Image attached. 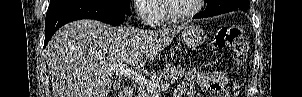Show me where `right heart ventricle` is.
<instances>
[{
  "label": "right heart ventricle",
  "mask_w": 302,
  "mask_h": 97,
  "mask_svg": "<svg viewBox=\"0 0 302 97\" xmlns=\"http://www.w3.org/2000/svg\"><path fill=\"white\" fill-rule=\"evenodd\" d=\"M161 21H165V16H164V13L162 12V10H161Z\"/></svg>",
  "instance_id": "1"
}]
</instances>
